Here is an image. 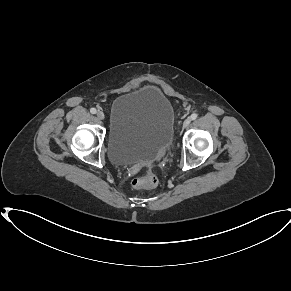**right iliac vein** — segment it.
Wrapping results in <instances>:
<instances>
[{"label":"right iliac vein","instance_id":"right-iliac-vein-1","mask_svg":"<svg viewBox=\"0 0 291 291\" xmlns=\"http://www.w3.org/2000/svg\"><path fill=\"white\" fill-rule=\"evenodd\" d=\"M97 117L100 119V120H103L105 118V115L102 111H98L97 112Z\"/></svg>","mask_w":291,"mask_h":291}]
</instances>
